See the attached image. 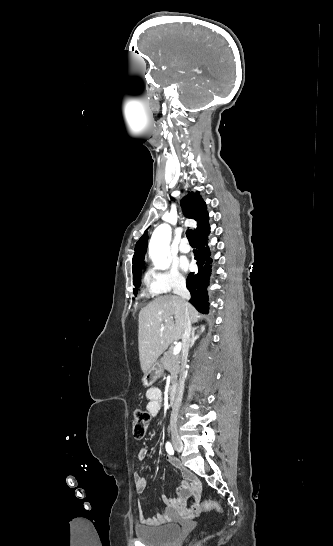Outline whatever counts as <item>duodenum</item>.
<instances>
[{"mask_svg":"<svg viewBox=\"0 0 333 546\" xmlns=\"http://www.w3.org/2000/svg\"><path fill=\"white\" fill-rule=\"evenodd\" d=\"M177 395H178L177 388L175 386L171 387L169 396H170V401L172 404L176 403Z\"/></svg>","mask_w":333,"mask_h":546,"instance_id":"duodenum-1","label":"duodenum"}]
</instances>
